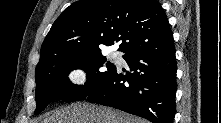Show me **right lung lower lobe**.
I'll list each match as a JSON object with an SVG mask.
<instances>
[{
    "mask_svg": "<svg viewBox=\"0 0 221 123\" xmlns=\"http://www.w3.org/2000/svg\"><path fill=\"white\" fill-rule=\"evenodd\" d=\"M123 58L133 72L122 74L115 69L85 98L152 123H173L177 89L173 36L131 49Z\"/></svg>",
    "mask_w": 221,
    "mask_h": 123,
    "instance_id": "right-lung-lower-lobe-1",
    "label": "right lung lower lobe"
}]
</instances>
